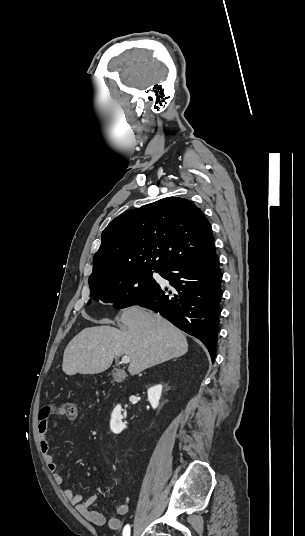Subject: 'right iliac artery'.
<instances>
[{"label":"right iliac artery","instance_id":"82829eb1","mask_svg":"<svg viewBox=\"0 0 305 536\" xmlns=\"http://www.w3.org/2000/svg\"><path fill=\"white\" fill-rule=\"evenodd\" d=\"M123 536H130V526L126 525L123 529Z\"/></svg>","mask_w":305,"mask_h":536}]
</instances>
